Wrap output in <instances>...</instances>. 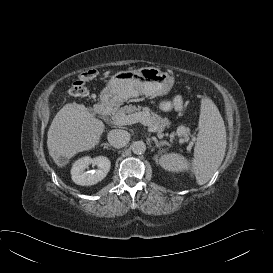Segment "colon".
Segmentation results:
<instances>
[{"instance_id": "colon-1", "label": "colon", "mask_w": 273, "mask_h": 273, "mask_svg": "<svg viewBox=\"0 0 273 273\" xmlns=\"http://www.w3.org/2000/svg\"><path fill=\"white\" fill-rule=\"evenodd\" d=\"M96 76L95 70H87L83 72L80 79L75 81L70 87V93L73 96L82 97L87 95L86 82L93 79Z\"/></svg>"}]
</instances>
